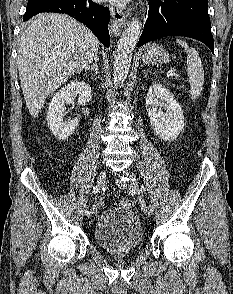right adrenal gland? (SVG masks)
Here are the masks:
<instances>
[{
  "mask_svg": "<svg viewBox=\"0 0 233 294\" xmlns=\"http://www.w3.org/2000/svg\"><path fill=\"white\" fill-rule=\"evenodd\" d=\"M98 61H99V58L96 57L93 61V65H89L87 67H85V71H88V70H91V71H94L95 74H98Z\"/></svg>",
  "mask_w": 233,
  "mask_h": 294,
  "instance_id": "right-adrenal-gland-1",
  "label": "right adrenal gland"
}]
</instances>
